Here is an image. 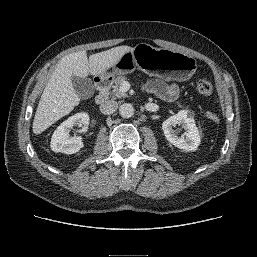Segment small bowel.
Instances as JSON below:
<instances>
[{"label":"small bowel","mask_w":257,"mask_h":257,"mask_svg":"<svg viewBox=\"0 0 257 257\" xmlns=\"http://www.w3.org/2000/svg\"><path fill=\"white\" fill-rule=\"evenodd\" d=\"M144 88L147 92L156 94L167 101L175 100L179 94L178 87L175 84L166 83L157 79L147 81Z\"/></svg>","instance_id":"c3829d8e"}]
</instances>
